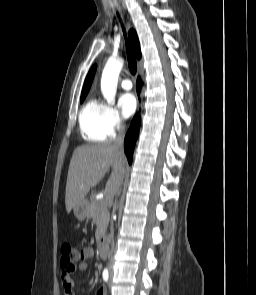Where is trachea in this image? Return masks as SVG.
I'll use <instances>...</instances> for the list:
<instances>
[{
    "label": "trachea",
    "mask_w": 256,
    "mask_h": 295,
    "mask_svg": "<svg viewBox=\"0 0 256 295\" xmlns=\"http://www.w3.org/2000/svg\"><path fill=\"white\" fill-rule=\"evenodd\" d=\"M123 32H124V36L126 38V33H125L124 27H123ZM126 50H127V60H128L129 70H130L131 74H135L136 70H137V62H136V58H135L133 51H132L127 40H126Z\"/></svg>",
    "instance_id": "trachea-1"
}]
</instances>
